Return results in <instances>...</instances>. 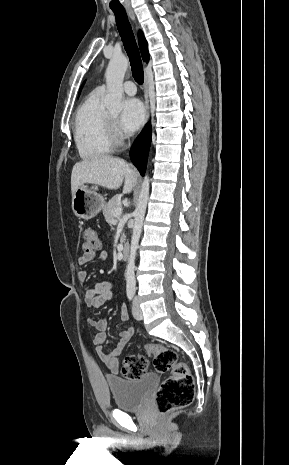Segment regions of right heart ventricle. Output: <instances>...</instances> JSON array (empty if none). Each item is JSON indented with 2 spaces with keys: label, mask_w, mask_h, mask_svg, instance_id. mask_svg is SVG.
Instances as JSON below:
<instances>
[{
  "label": "right heart ventricle",
  "mask_w": 289,
  "mask_h": 465,
  "mask_svg": "<svg viewBox=\"0 0 289 465\" xmlns=\"http://www.w3.org/2000/svg\"><path fill=\"white\" fill-rule=\"evenodd\" d=\"M104 91L96 88L77 109L74 118V140L83 160H97L113 150L107 124L108 112L102 105Z\"/></svg>",
  "instance_id": "1"
}]
</instances>
